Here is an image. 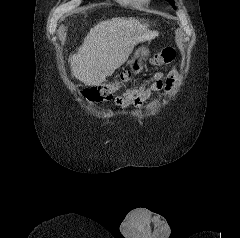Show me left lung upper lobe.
Segmentation results:
<instances>
[{"label":"left lung upper lobe","instance_id":"left-lung-upper-lobe-1","mask_svg":"<svg viewBox=\"0 0 240 238\" xmlns=\"http://www.w3.org/2000/svg\"><path fill=\"white\" fill-rule=\"evenodd\" d=\"M167 1L170 2L173 5V7H175L174 6V4H175L174 0H167Z\"/></svg>","mask_w":240,"mask_h":238}]
</instances>
